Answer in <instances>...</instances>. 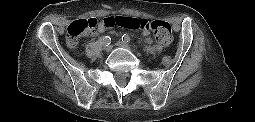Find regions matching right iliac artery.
I'll list each match as a JSON object with an SVG mask.
<instances>
[{
    "label": "right iliac artery",
    "mask_w": 255,
    "mask_h": 122,
    "mask_svg": "<svg viewBox=\"0 0 255 122\" xmlns=\"http://www.w3.org/2000/svg\"><path fill=\"white\" fill-rule=\"evenodd\" d=\"M102 43H103V45L108 46L111 43V37L110 36L103 37Z\"/></svg>",
    "instance_id": "82829eb1"
}]
</instances>
